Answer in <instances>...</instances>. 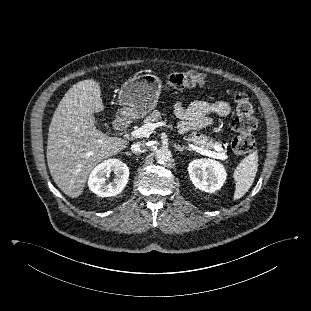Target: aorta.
<instances>
[{"label": "aorta", "instance_id": "aorta-1", "mask_svg": "<svg viewBox=\"0 0 311 311\" xmlns=\"http://www.w3.org/2000/svg\"><path fill=\"white\" fill-rule=\"evenodd\" d=\"M156 160L160 164L167 163L171 158V151L168 148H160L156 151Z\"/></svg>", "mask_w": 311, "mask_h": 311}]
</instances>
